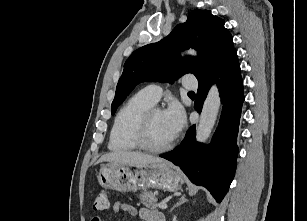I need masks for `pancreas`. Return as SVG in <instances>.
<instances>
[{"label": "pancreas", "instance_id": "1", "mask_svg": "<svg viewBox=\"0 0 307 221\" xmlns=\"http://www.w3.org/2000/svg\"><path fill=\"white\" fill-rule=\"evenodd\" d=\"M139 199H140L141 203L148 208L155 209L157 207V204H156L157 193L156 192L143 191L139 195Z\"/></svg>", "mask_w": 307, "mask_h": 221}]
</instances>
